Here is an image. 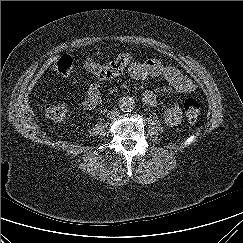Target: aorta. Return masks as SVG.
I'll return each mask as SVG.
<instances>
[{
	"mask_svg": "<svg viewBox=\"0 0 243 243\" xmlns=\"http://www.w3.org/2000/svg\"><path fill=\"white\" fill-rule=\"evenodd\" d=\"M135 107L134 99L128 96H124L119 100V108L123 112H131Z\"/></svg>",
	"mask_w": 243,
	"mask_h": 243,
	"instance_id": "762f6f07",
	"label": "aorta"
}]
</instances>
